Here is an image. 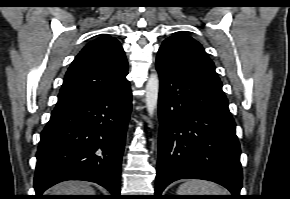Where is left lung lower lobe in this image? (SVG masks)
Masks as SVG:
<instances>
[{
    "instance_id": "obj_1",
    "label": "left lung lower lobe",
    "mask_w": 290,
    "mask_h": 199,
    "mask_svg": "<svg viewBox=\"0 0 290 199\" xmlns=\"http://www.w3.org/2000/svg\"><path fill=\"white\" fill-rule=\"evenodd\" d=\"M160 78L156 195L173 181L205 179L240 198L242 170L235 122L222 84L184 70L158 52Z\"/></svg>"
}]
</instances>
